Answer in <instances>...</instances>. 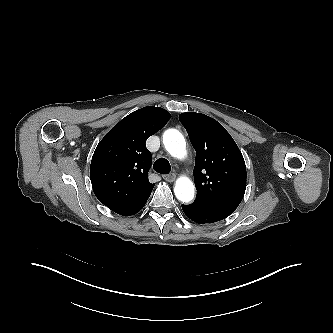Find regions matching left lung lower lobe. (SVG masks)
Wrapping results in <instances>:
<instances>
[{
  "label": "left lung lower lobe",
  "instance_id": "obj_1",
  "mask_svg": "<svg viewBox=\"0 0 333 333\" xmlns=\"http://www.w3.org/2000/svg\"><path fill=\"white\" fill-rule=\"evenodd\" d=\"M182 209L189 219L200 224L213 223L228 217V215L198 202L182 205Z\"/></svg>",
  "mask_w": 333,
  "mask_h": 333
}]
</instances>
